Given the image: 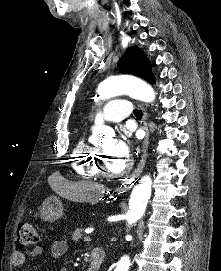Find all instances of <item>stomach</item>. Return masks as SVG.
I'll return each mask as SVG.
<instances>
[{"label":"stomach","instance_id":"obj_1","mask_svg":"<svg viewBox=\"0 0 221 271\" xmlns=\"http://www.w3.org/2000/svg\"><path fill=\"white\" fill-rule=\"evenodd\" d=\"M62 213L63 205L60 199L58 197H47V201H44L41 207L40 217L44 221H54V219L61 217Z\"/></svg>","mask_w":221,"mask_h":271}]
</instances>
